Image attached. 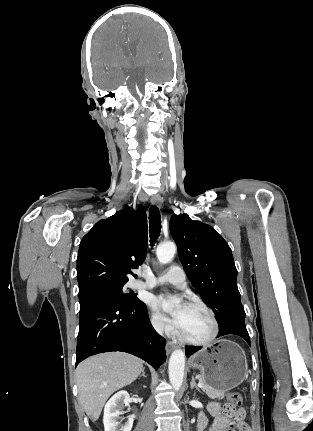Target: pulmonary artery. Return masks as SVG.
Instances as JSON below:
<instances>
[{
  "instance_id": "1",
  "label": "pulmonary artery",
  "mask_w": 313,
  "mask_h": 431,
  "mask_svg": "<svg viewBox=\"0 0 313 431\" xmlns=\"http://www.w3.org/2000/svg\"><path fill=\"white\" fill-rule=\"evenodd\" d=\"M169 284L178 289H184L186 287L185 273L179 266L173 265L168 271L162 275L156 277L152 281L147 282H135L134 287L136 288H153L159 285Z\"/></svg>"
}]
</instances>
